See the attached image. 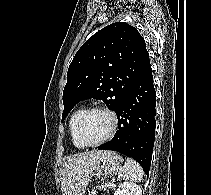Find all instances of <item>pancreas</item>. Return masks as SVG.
Returning <instances> with one entry per match:
<instances>
[{"label": "pancreas", "instance_id": "pancreas-1", "mask_svg": "<svg viewBox=\"0 0 211 195\" xmlns=\"http://www.w3.org/2000/svg\"><path fill=\"white\" fill-rule=\"evenodd\" d=\"M108 188H111L109 183H104L101 186H99V190H106Z\"/></svg>", "mask_w": 211, "mask_h": 195}]
</instances>
